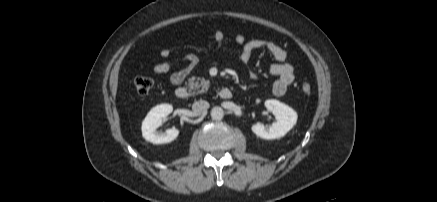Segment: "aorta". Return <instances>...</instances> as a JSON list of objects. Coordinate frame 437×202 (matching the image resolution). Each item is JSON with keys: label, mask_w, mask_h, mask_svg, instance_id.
Listing matches in <instances>:
<instances>
[{"label": "aorta", "mask_w": 437, "mask_h": 202, "mask_svg": "<svg viewBox=\"0 0 437 202\" xmlns=\"http://www.w3.org/2000/svg\"><path fill=\"white\" fill-rule=\"evenodd\" d=\"M211 117L214 120H221L224 117V111L221 107L216 106L211 110Z\"/></svg>", "instance_id": "762f6f07"}]
</instances>
